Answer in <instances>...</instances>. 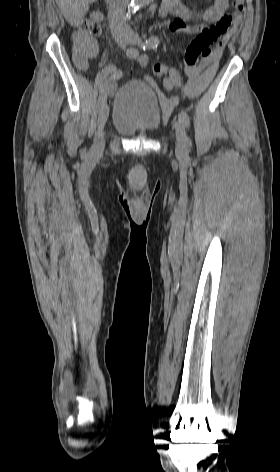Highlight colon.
<instances>
[{"label":"colon","instance_id":"colon-1","mask_svg":"<svg viewBox=\"0 0 280 472\" xmlns=\"http://www.w3.org/2000/svg\"><path fill=\"white\" fill-rule=\"evenodd\" d=\"M244 10V0L233 1L232 13L224 14L213 25L204 28L187 46L185 51V63L190 66L197 64L200 57H208L214 48L211 46L217 42L220 44L222 38L227 34L232 25H238L242 20V13ZM81 32L86 35L94 36L100 32L99 24L94 20L86 21L80 28ZM216 45V46H217ZM75 64L79 68L86 65L82 57H73ZM170 69L164 64H155L153 66V73L155 76L161 77L168 75Z\"/></svg>","mask_w":280,"mask_h":472}]
</instances>
